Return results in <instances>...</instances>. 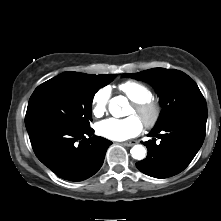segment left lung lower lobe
Masks as SVG:
<instances>
[{"label": "left lung lower lobe", "mask_w": 221, "mask_h": 221, "mask_svg": "<svg viewBox=\"0 0 221 221\" xmlns=\"http://www.w3.org/2000/svg\"><path fill=\"white\" fill-rule=\"evenodd\" d=\"M207 112H192L179 116L168 124L153 129L149 136L158 137L145 142L146 159L137 168L155 178H168L182 172L192 161L205 138Z\"/></svg>", "instance_id": "left-lung-lower-lobe-1"}]
</instances>
